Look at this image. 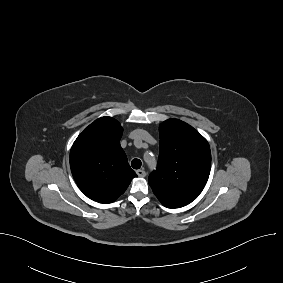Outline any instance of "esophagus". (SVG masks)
I'll return each instance as SVG.
<instances>
[{"mask_svg": "<svg viewBox=\"0 0 283 283\" xmlns=\"http://www.w3.org/2000/svg\"><path fill=\"white\" fill-rule=\"evenodd\" d=\"M136 173L139 177H145L146 176V172L143 169L137 170Z\"/></svg>", "mask_w": 283, "mask_h": 283, "instance_id": "34e87169", "label": "esophagus"}]
</instances>
